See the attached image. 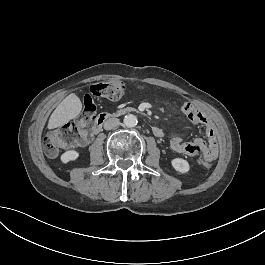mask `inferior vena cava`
I'll use <instances>...</instances> for the list:
<instances>
[{"label": "inferior vena cava", "mask_w": 265, "mask_h": 265, "mask_svg": "<svg viewBox=\"0 0 265 265\" xmlns=\"http://www.w3.org/2000/svg\"><path fill=\"white\" fill-rule=\"evenodd\" d=\"M119 119L117 118H108L107 120H105L104 122V129L105 130H111L115 127H117L119 125Z\"/></svg>", "instance_id": "602c4592"}]
</instances>
